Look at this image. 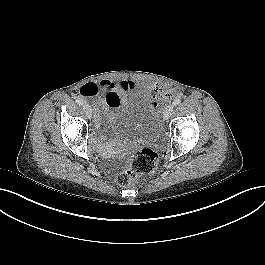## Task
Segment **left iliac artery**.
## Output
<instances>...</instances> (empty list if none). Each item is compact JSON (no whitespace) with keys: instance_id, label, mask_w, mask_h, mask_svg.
<instances>
[{"instance_id":"left-iliac-artery-1","label":"left iliac artery","mask_w":265,"mask_h":265,"mask_svg":"<svg viewBox=\"0 0 265 265\" xmlns=\"http://www.w3.org/2000/svg\"><path fill=\"white\" fill-rule=\"evenodd\" d=\"M180 102H181V99L180 98H176L174 101H173V105L174 106H177V105H179L180 104Z\"/></svg>"}]
</instances>
